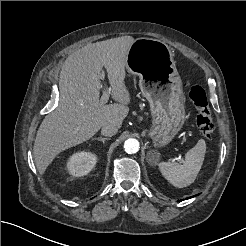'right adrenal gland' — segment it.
Here are the masks:
<instances>
[{
  "label": "right adrenal gland",
  "mask_w": 246,
  "mask_h": 246,
  "mask_svg": "<svg viewBox=\"0 0 246 246\" xmlns=\"http://www.w3.org/2000/svg\"><path fill=\"white\" fill-rule=\"evenodd\" d=\"M92 140H98V141H101L103 144H105V142L107 140H109V138H104V137H95V138H92Z\"/></svg>",
  "instance_id": "obj_1"
}]
</instances>
